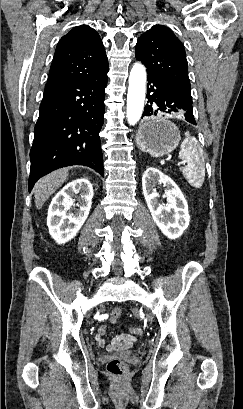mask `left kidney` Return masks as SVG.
Segmentation results:
<instances>
[{
  "label": "left kidney",
  "instance_id": "left-kidney-1",
  "mask_svg": "<svg viewBox=\"0 0 243 409\" xmlns=\"http://www.w3.org/2000/svg\"><path fill=\"white\" fill-rule=\"evenodd\" d=\"M157 183L166 187V205L158 202ZM142 188L152 218L162 233L170 239L180 237L189 225L190 216L187 201L176 183L158 169L150 167L142 176Z\"/></svg>",
  "mask_w": 243,
  "mask_h": 409
}]
</instances>
